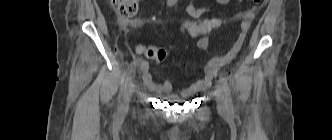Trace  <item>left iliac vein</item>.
<instances>
[{
  "label": "left iliac vein",
  "mask_w": 332,
  "mask_h": 140,
  "mask_svg": "<svg viewBox=\"0 0 332 140\" xmlns=\"http://www.w3.org/2000/svg\"><path fill=\"white\" fill-rule=\"evenodd\" d=\"M215 97H216V101H217L218 110L221 113H225L227 111V103H226L224 91L222 89V83L220 80L218 81V86L215 91Z\"/></svg>",
  "instance_id": "4c4485c4"
}]
</instances>
